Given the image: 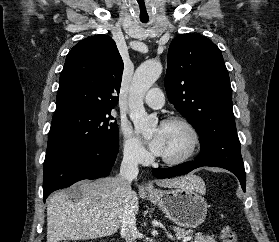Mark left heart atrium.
Returning a JSON list of instances; mask_svg holds the SVG:
<instances>
[{
  "label": "left heart atrium",
  "instance_id": "obj_1",
  "mask_svg": "<svg viewBox=\"0 0 279 242\" xmlns=\"http://www.w3.org/2000/svg\"><path fill=\"white\" fill-rule=\"evenodd\" d=\"M149 147L151 151L156 155H161L162 149H163V140L161 132L158 130L152 137V139L149 141Z\"/></svg>",
  "mask_w": 279,
  "mask_h": 242
}]
</instances>
